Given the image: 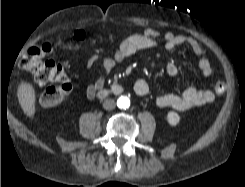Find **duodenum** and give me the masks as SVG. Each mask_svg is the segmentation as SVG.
Listing matches in <instances>:
<instances>
[{
  "mask_svg": "<svg viewBox=\"0 0 245 187\" xmlns=\"http://www.w3.org/2000/svg\"><path fill=\"white\" fill-rule=\"evenodd\" d=\"M122 91L121 86L119 85H114L110 89H102L98 92L99 97H105L110 93H120Z\"/></svg>",
  "mask_w": 245,
  "mask_h": 187,
  "instance_id": "410a0bca",
  "label": "duodenum"
}]
</instances>
